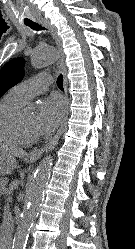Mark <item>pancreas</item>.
<instances>
[{"label": "pancreas", "instance_id": "cf45deb5", "mask_svg": "<svg viewBox=\"0 0 135 249\" xmlns=\"http://www.w3.org/2000/svg\"><path fill=\"white\" fill-rule=\"evenodd\" d=\"M17 185V182H13L8 188L1 186L0 193L7 194L10 190H12Z\"/></svg>", "mask_w": 135, "mask_h": 249}]
</instances>
